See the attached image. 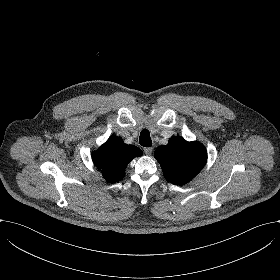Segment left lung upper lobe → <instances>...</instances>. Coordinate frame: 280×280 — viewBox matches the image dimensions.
I'll return each mask as SVG.
<instances>
[{
  "label": "left lung upper lobe",
  "mask_w": 280,
  "mask_h": 280,
  "mask_svg": "<svg viewBox=\"0 0 280 280\" xmlns=\"http://www.w3.org/2000/svg\"><path fill=\"white\" fill-rule=\"evenodd\" d=\"M155 158L169 182L183 185L204 167L207 152L201 143L187 142L181 137H173L167 145L156 149Z\"/></svg>",
  "instance_id": "obj_1"
}]
</instances>
